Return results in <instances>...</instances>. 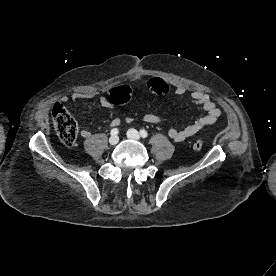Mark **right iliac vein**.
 I'll return each mask as SVG.
<instances>
[{
	"instance_id": "63e3f726",
	"label": "right iliac vein",
	"mask_w": 276,
	"mask_h": 276,
	"mask_svg": "<svg viewBox=\"0 0 276 276\" xmlns=\"http://www.w3.org/2000/svg\"><path fill=\"white\" fill-rule=\"evenodd\" d=\"M119 141V137L117 135H112L110 138H109V143L110 145L114 146L118 143Z\"/></svg>"
}]
</instances>
